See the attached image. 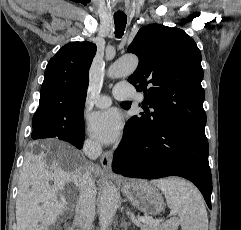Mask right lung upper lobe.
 <instances>
[{
	"label": "right lung upper lobe",
	"mask_w": 241,
	"mask_h": 230,
	"mask_svg": "<svg viewBox=\"0 0 241 230\" xmlns=\"http://www.w3.org/2000/svg\"><path fill=\"white\" fill-rule=\"evenodd\" d=\"M95 54L96 45L91 42L64 45L46 66L35 114L84 107L89 84L88 70Z\"/></svg>",
	"instance_id": "cb5924a9"
}]
</instances>
